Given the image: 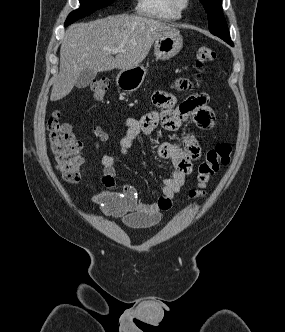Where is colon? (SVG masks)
Listing matches in <instances>:
<instances>
[{
  "instance_id": "5ec220e1",
  "label": "colon",
  "mask_w": 285,
  "mask_h": 332,
  "mask_svg": "<svg viewBox=\"0 0 285 332\" xmlns=\"http://www.w3.org/2000/svg\"><path fill=\"white\" fill-rule=\"evenodd\" d=\"M217 54L214 49L206 45H199L196 49L195 65L201 70L207 65L215 62ZM109 88V83L105 79L95 80L90 84V92L95 100H102ZM51 151L55 160L56 168L63 178L76 183L82 175V148L83 143L75 137L71 126L61 120L59 112H55L47 124ZM94 133L99 138L104 135L99 129ZM232 149L228 144H219L209 149L204 159L198 166L197 187L190 191L192 198L201 197L210 179L230 162Z\"/></svg>"
}]
</instances>
